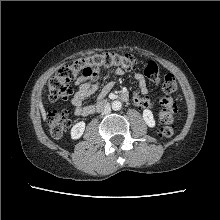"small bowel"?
<instances>
[{
	"mask_svg": "<svg viewBox=\"0 0 220 220\" xmlns=\"http://www.w3.org/2000/svg\"><path fill=\"white\" fill-rule=\"evenodd\" d=\"M117 75H124L125 71L122 68H116ZM102 75L101 69L91 71L89 74H81L75 79V85L77 89L72 98V105L74 107V113L79 116H88L95 112L94 105H86L85 101L88 97L96 93L100 87V79ZM135 79L138 83L139 92L133 94V101L139 107H149L151 105L150 100L146 97L148 92L146 81L142 74L136 73ZM113 83L106 84L100 93V99H102L111 89Z\"/></svg>",
	"mask_w": 220,
	"mask_h": 220,
	"instance_id": "obj_1",
	"label": "small bowel"
}]
</instances>
